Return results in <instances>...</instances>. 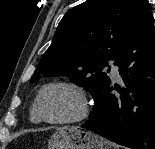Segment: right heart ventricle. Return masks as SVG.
<instances>
[{"label": "right heart ventricle", "instance_id": "1", "mask_svg": "<svg viewBox=\"0 0 155 149\" xmlns=\"http://www.w3.org/2000/svg\"><path fill=\"white\" fill-rule=\"evenodd\" d=\"M30 120L35 124H39L41 122L38 116L36 115L35 111L33 110V106L30 110Z\"/></svg>", "mask_w": 155, "mask_h": 149}]
</instances>
